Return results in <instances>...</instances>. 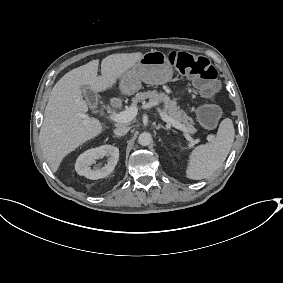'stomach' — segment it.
I'll return each mask as SVG.
<instances>
[{
	"instance_id": "obj_1",
	"label": "stomach",
	"mask_w": 283,
	"mask_h": 283,
	"mask_svg": "<svg viewBox=\"0 0 283 283\" xmlns=\"http://www.w3.org/2000/svg\"><path fill=\"white\" fill-rule=\"evenodd\" d=\"M172 76L173 69L167 56L161 51H150L119 77V89L124 95H132L141 88V82L160 85L169 82Z\"/></svg>"
}]
</instances>
